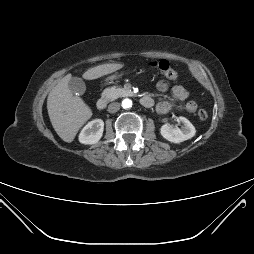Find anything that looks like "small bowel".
Masks as SVG:
<instances>
[{"instance_id": "small-bowel-1", "label": "small bowel", "mask_w": 254, "mask_h": 254, "mask_svg": "<svg viewBox=\"0 0 254 254\" xmlns=\"http://www.w3.org/2000/svg\"><path fill=\"white\" fill-rule=\"evenodd\" d=\"M156 87L160 91H167L170 89L172 96L177 99L178 101L185 102L184 108L188 112H195L197 109V104L195 101L188 100L189 98V92L188 90L181 86V85H174L170 87L168 82L161 80L156 84ZM174 107V104L171 101L164 100L160 101L156 105V110L160 114L168 113L172 108Z\"/></svg>"}]
</instances>
